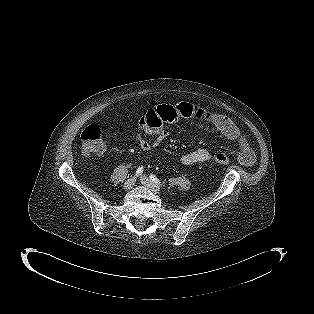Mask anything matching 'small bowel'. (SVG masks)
<instances>
[{"instance_id": "obj_1", "label": "small bowel", "mask_w": 314, "mask_h": 314, "mask_svg": "<svg viewBox=\"0 0 314 314\" xmlns=\"http://www.w3.org/2000/svg\"><path fill=\"white\" fill-rule=\"evenodd\" d=\"M145 116L138 122L137 140L143 151H150L160 145L168 136L169 131L164 125H179L188 122L191 118L203 121L218 130L226 139L238 143L240 154L239 162L244 166H251L255 161V154L244 134L237 125L226 115L191 105L188 102H171L161 105H150L145 110ZM154 135L153 140L147 139ZM210 151L196 149L181 156V163L186 166L211 161Z\"/></svg>"}]
</instances>
